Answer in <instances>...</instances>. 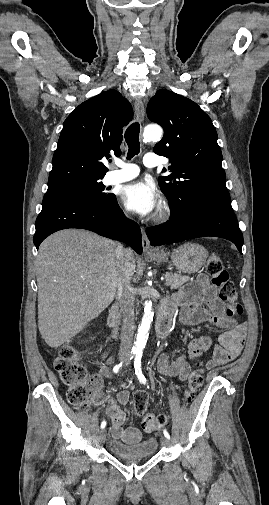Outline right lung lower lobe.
<instances>
[{
  "mask_svg": "<svg viewBox=\"0 0 269 505\" xmlns=\"http://www.w3.org/2000/svg\"><path fill=\"white\" fill-rule=\"evenodd\" d=\"M67 228L90 230L101 236L122 241L138 254L142 253L140 228L134 221L125 217L116 197L104 204L68 196L43 201L33 238L36 248L38 249L50 234Z\"/></svg>",
  "mask_w": 269,
  "mask_h": 505,
  "instance_id": "right-lung-lower-lobe-1",
  "label": "right lung lower lobe"
}]
</instances>
